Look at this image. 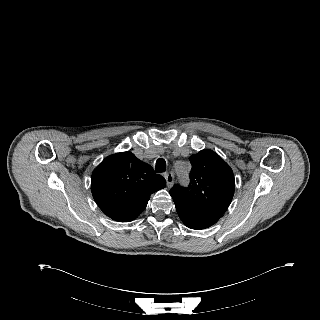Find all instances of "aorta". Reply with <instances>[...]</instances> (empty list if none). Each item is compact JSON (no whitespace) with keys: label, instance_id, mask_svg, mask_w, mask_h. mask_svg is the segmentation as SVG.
I'll return each mask as SVG.
<instances>
[{"label":"aorta","instance_id":"obj_1","mask_svg":"<svg viewBox=\"0 0 320 320\" xmlns=\"http://www.w3.org/2000/svg\"><path fill=\"white\" fill-rule=\"evenodd\" d=\"M174 170H175L176 175H177L180 179L184 178V177L187 175V173H188V170H187V169H186V170H183V169H182L181 164H177V165L174 167Z\"/></svg>","mask_w":320,"mask_h":320}]
</instances>
